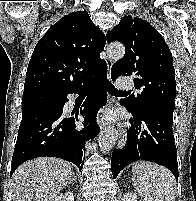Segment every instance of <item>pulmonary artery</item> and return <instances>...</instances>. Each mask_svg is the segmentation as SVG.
<instances>
[{
	"label": "pulmonary artery",
	"mask_w": 196,
	"mask_h": 201,
	"mask_svg": "<svg viewBox=\"0 0 196 201\" xmlns=\"http://www.w3.org/2000/svg\"><path fill=\"white\" fill-rule=\"evenodd\" d=\"M116 86L119 89H131L133 86V83L130 79L126 77H122L118 79V81L116 82Z\"/></svg>",
	"instance_id": "1"
}]
</instances>
